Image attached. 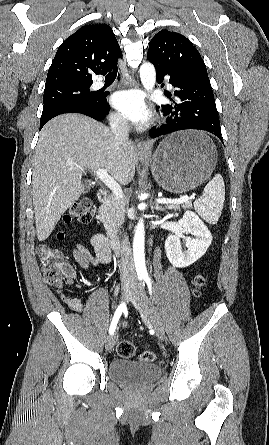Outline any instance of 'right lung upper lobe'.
I'll return each instance as SVG.
<instances>
[{
  "label": "right lung upper lobe",
  "mask_w": 269,
  "mask_h": 445,
  "mask_svg": "<svg viewBox=\"0 0 269 445\" xmlns=\"http://www.w3.org/2000/svg\"><path fill=\"white\" fill-rule=\"evenodd\" d=\"M122 52L110 26L87 24L69 36L58 48L49 68L45 89L92 84V75L117 69Z\"/></svg>",
  "instance_id": "1"
}]
</instances>
